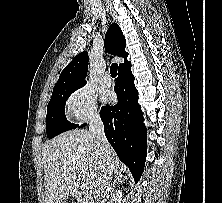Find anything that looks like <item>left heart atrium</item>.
Here are the masks:
<instances>
[{
	"label": "left heart atrium",
	"mask_w": 222,
	"mask_h": 203,
	"mask_svg": "<svg viewBox=\"0 0 222 203\" xmlns=\"http://www.w3.org/2000/svg\"><path fill=\"white\" fill-rule=\"evenodd\" d=\"M103 99H104V101L108 102L111 100V95L109 93H105L103 95Z\"/></svg>",
	"instance_id": "39dd6f15"
}]
</instances>
